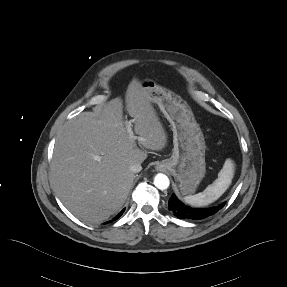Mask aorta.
<instances>
[{"mask_svg": "<svg viewBox=\"0 0 287 287\" xmlns=\"http://www.w3.org/2000/svg\"><path fill=\"white\" fill-rule=\"evenodd\" d=\"M154 185L160 190H165L170 185L169 178L163 173H158L154 177Z\"/></svg>", "mask_w": 287, "mask_h": 287, "instance_id": "obj_1", "label": "aorta"}]
</instances>
